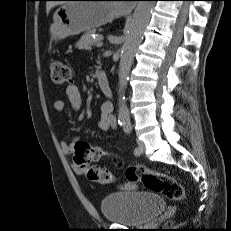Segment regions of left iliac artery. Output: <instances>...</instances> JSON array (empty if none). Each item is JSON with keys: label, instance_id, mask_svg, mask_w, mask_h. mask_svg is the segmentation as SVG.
Listing matches in <instances>:
<instances>
[{"label": "left iliac artery", "instance_id": "1", "mask_svg": "<svg viewBox=\"0 0 231 231\" xmlns=\"http://www.w3.org/2000/svg\"><path fill=\"white\" fill-rule=\"evenodd\" d=\"M123 130L126 134H130L131 131H132V125L130 122H125L124 125H123ZM134 154L135 155H139L140 152H139V149L136 147L135 150H134Z\"/></svg>", "mask_w": 231, "mask_h": 231}]
</instances>
